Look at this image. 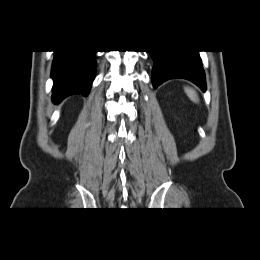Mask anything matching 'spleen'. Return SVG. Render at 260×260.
<instances>
[{
    "label": "spleen",
    "instance_id": "obj_1",
    "mask_svg": "<svg viewBox=\"0 0 260 260\" xmlns=\"http://www.w3.org/2000/svg\"><path fill=\"white\" fill-rule=\"evenodd\" d=\"M184 90L191 101H193L194 103L199 102L198 95L194 89H192L190 87H185Z\"/></svg>",
    "mask_w": 260,
    "mask_h": 260
}]
</instances>
